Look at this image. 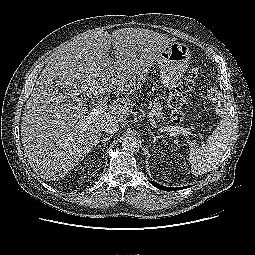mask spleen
<instances>
[{"mask_svg":"<svg viewBox=\"0 0 255 255\" xmlns=\"http://www.w3.org/2000/svg\"><path fill=\"white\" fill-rule=\"evenodd\" d=\"M231 136L232 124L228 118H223L207 138V143L190 151L189 160L195 176L208 173L218 165L229 145Z\"/></svg>","mask_w":255,"mask_h":255,"instance_id":"spleen-1","label":"spleen"}]
</instances>
